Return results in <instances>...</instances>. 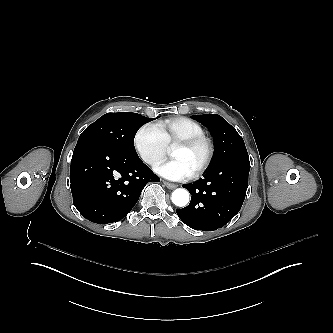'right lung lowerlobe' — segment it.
Segmentation results:
<instances>
[{"label": "right lung lower lobe", "mask_w": 333, "mask_h": 333, "mask_svg": "<svg viewBox=\"0 0 333 333\" xmlns=\"http://www.w3.org/2000/svg\"><path fill=\"white\" fill-rule=\"evenodd\" d=\"M151 181L160 179L138 155L122 154L95 139L77 142L71 160L70 187L73 204L86 219L97 224L121 220Z\"/></svg>", "instance_id": "1"}]
</instances>
